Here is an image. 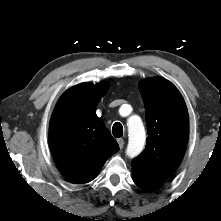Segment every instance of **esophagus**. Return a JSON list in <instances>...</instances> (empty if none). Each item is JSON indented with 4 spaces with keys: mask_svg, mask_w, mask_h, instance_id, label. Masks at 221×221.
Instances as JSON below:
<instances>
[{
    "mask_svg": "<svg viewBox=\"0 0 221 221\" xmlns=\"http://www.w3.org/2000/svg\"><path fill=\"white\" fill-rule=\"evenodd\" d=\"M117 143H118L120 149H122L124 147L125 142L122 138H119L117 140Z\"/></svg>",
    "mask_w": 221,
    "mask_h": 221,
    "instance_id": "34e87169",
    "label": "esophagus"
}]
</instances>
